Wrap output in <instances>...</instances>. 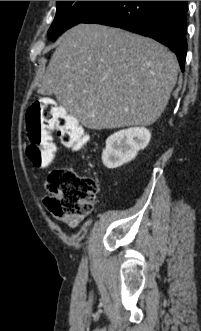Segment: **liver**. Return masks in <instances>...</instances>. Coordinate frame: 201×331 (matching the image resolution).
Segmentation results:
<instances>
[{
  "label": "liver",
  "mask_w": 201,
  "mask_h": 331,
  "mask_svg": "<svg viewBox=\"0 0 201 331\" xmlns=\"http://www.w3.org/2000/svg\"><path fill=\"white\" fill-rule=\"evenodd\" d=\"M177 74L175 55L159 42L78 24L61 38L39 87L89 129L149 126L166 108Z\"/></svg>",
  "instance_id": "1"
}]
</instances>
